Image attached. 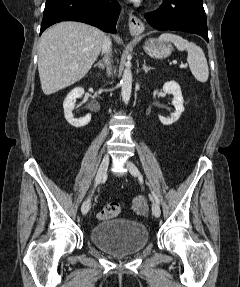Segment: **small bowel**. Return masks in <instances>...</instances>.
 I'll list each match as a JSON object with an SVG mask.
<instances>
[{"instance_id": "obj_1", "label": "small bowel", "mask_w": 240, "mask_h": 287, "mask_svg": "<svg viewBox=\"0 0 240 287\" xmlns=\"http://www.w3.org/2000/svg\"><path fill=\"white\" fill-rule=\"evenodd\" d=\"M134 209L138 213H145L147 211V199L143 195H138L133 198Z\"/></svg>"}]
</instances>
